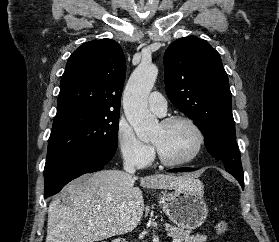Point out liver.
<instances>
[{"label": "liver", "mask_w": 279, "mask_h": 242, "mask_svg": "<svg viewBox=\"0 0 279 242\" xmlns=\"http://www.w3.org/2000/svg\"><path fill=\"white\" fill-rule=\"evenodd\" d=\"M135 181L128 173L103 170L69 183L65 200L56 197L49 205L46 242H95L134 230L144 212ZM140 185L177 190L202 184L188 175L154 174L140 178Z\"/></svg>", "instance_id": "6515ba94"}]
</instances>
